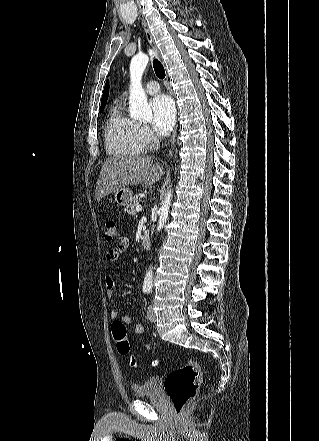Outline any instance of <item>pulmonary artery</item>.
Masks as SVG:
<instances>
[{
    "instance_id": "1",
    "label": "pulmonary artery",
    "mask_w": 319,
    "mask_h": 441,
    "mask_svg": "<svg viewBox=\"0 0 319 441\" xmlns=\"http://www.w3.org/2000/svg\"><path fill=\"white\" fill-rule=\"evenodd\" d=\"M144 90L148 94H156L159 91V84L154 80L149 81L145 85Z\"/></svg>"
}]
</instances>
